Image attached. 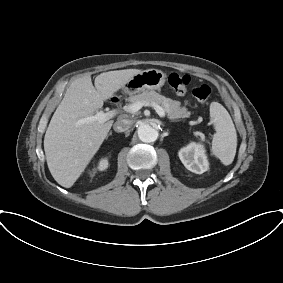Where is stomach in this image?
Wrapping results in <instances>:
<instances>
[{"label": "stomach", "instance_id": "1", "mask_svg": "<svg viewBox=\"0 0 283 283\" xmlns=\"http://www.w3.org/2000/svg\"><path fill=\"white\" fill-rule=\"evenodd\" d=\"M166 74L158 69L144 70L124 86L125 91L135 94L144 90H159L165 83Z\"/></svg>", "mask_w": 283, "mask_h": 283}]
</instances>
